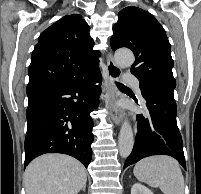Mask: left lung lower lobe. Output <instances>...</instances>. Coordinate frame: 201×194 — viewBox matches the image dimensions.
<instances>
[{"instance_id":"0a47b994","label":"left lung lower lobe","mask_w":201,"mask_h":194,"mask_svg":"<svg viewBox=\"0 0 201 194\" xmlns=\"http://www.w3.org/2000/svg\"><path fill=\"white\" fill-rule=\"evenodd\" d=\"M147 116L137 115L138 134L124 168L152 155H169L186 169L183 142L176 122L174 93L164 89L141 92Z\"/></svg>"}]
</instances>
